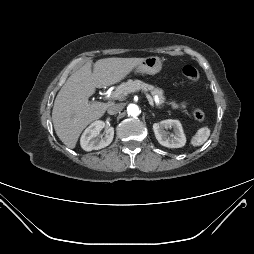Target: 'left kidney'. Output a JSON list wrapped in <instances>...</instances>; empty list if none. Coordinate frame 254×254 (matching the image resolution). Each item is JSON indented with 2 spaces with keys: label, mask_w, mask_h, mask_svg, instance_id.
<instances>
[{
  "label": "left kidney",
  "mask_w": 254,
  "mask_h": 254,
  "mask_svg": "<svg viewBox=\"0 0 254 254\" xmlns=\"http://www.w3.org/2000/svg\"><path fill=\"white\" fill-rule=\"evenodd\" d=\"M173 128L170 136L166 133L165 129ZM153 130L158 142L168 148H180L186 143L182 125L178 120H164L159 123H154Z\"/></svg>",
  "instance_id": "left-kidney-1"
}]
</instances>
